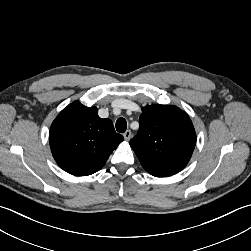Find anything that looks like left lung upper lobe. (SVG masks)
Wrapping results in <instances>:
<instances>
[{
  "label": "left lung upper lobe",
  "instance_id": "obj_1",
  "mask_svg": "<svg viewBox=\"0 0 251 251\" xmlns=\"http://www.w3.org/2000/svg\"><path fill=\"white\" fill-rule=\"evenodd\" d=\"M139 131L130 146L143 168L156 177L180 172L189 162L196 134L189 116L171 105L142 108Z\"/></svg>",
  "mask_w": 251,
  "mask_h": 251
}]
</instances>
